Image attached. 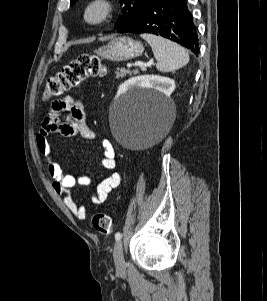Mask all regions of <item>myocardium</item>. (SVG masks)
Here are the masks:
<instances>
[{"mask_svg": "<svg viewBox=\"0 0 267 301\" xmlns=\"http://www.w3.org/2000/svg\"><path fill=\"white\" fill-rule=\"evenodd\" d=\"M115 11L111 0H90L83 13L85 23L91 26H98L109 21Z\"/></svg>", "mask_w": 267, "mask_h": 301, "instance_id": "myocardium-1", "label": "myocardium"}]
</instances>
